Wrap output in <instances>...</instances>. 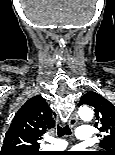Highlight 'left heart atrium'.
I'll list each match as a JSON object with an SVG mask.
<instances>
[{"label":"left heart atrium","mask_w":115,"mask_h":155,"mask_svg":"<svg viewBox=\"0 0 115 155\" xmlns=\"http://www.w3.org/2000/svg\"><path fill=\"white\" fill-rule=\"evenodd\" d=\"M65 155H81V154H79V152L77 150H75V151H72V152L65 154Z\"/></svg>","instance_id":"obj_1"}]
</instances>
